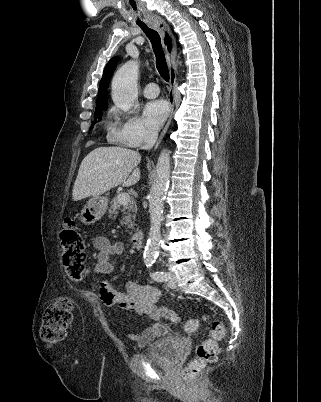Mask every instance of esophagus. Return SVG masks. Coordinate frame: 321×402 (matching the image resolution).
Instances as JSON below:
<instances>
[{"mask_svg": "<svg viewBox=\"0 0 321 402\" xmlns=\"http://www.w3.org/2000/svg\"><path fill=\"white\" fill-rule=\"evenodd\" d=\"M162 35V42L165 51L166 61L169 69V92H168V103H169V117L167 123L162 130L156 144L155 150L159 147L164 135L166 134L169 125L171 123L173 112H174V88L176 84V54H177V46L175 37L169 27V25L165 22L161 17H156L151 22Z\"/></svg>", "mask_w": 321, "mask_h": 402, "instance_id": "esophagus-1", "label": "esophagus"}]
</instances>
